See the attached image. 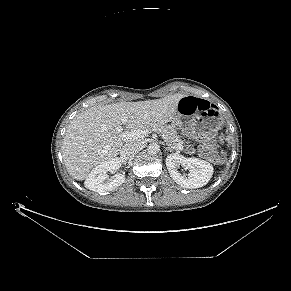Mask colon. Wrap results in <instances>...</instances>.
<instances>
[{
	"label": "colon",
	"instance_id": "colon-1",
	"mask_svg": "<svg viewBox=\"0 0 291 291\" xmlns=\"http://www.w3.org/2000/svg\"><path fill=\"white\" fill-rule=\"evenodd\" d=\"M211 105L203 99L188 100L182 98L179 108L186 115L193 114L196 111H208ZM203 153L214 163H222L224 159L217 154V143L215 140H209L202 146Z\"/></svg>",
	"mask_w": 291,
	"mask_h": 291
}]
</instances>
